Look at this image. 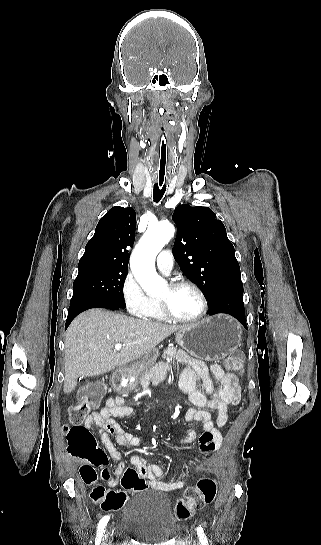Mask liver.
<instances>
[{
    "label": "liver",
    "instance_id": "6515ba94",
    "mask_svg": "<svg viewBox=\"0 0 321 545\" xmlns=\"http://www.w3.org/2000/svg\"><path fill=\"white\" fill-rule=\"evenodd\" d=\"M183 325H163L90 309L72 321L65 337L64 393H72L81 377H98L140 359ZM125 343L121 351L114 345ZM134 343V345H128Z\"/></svg>",
    "mask_w": 321,
    "mask_h": 545
}]
</instances>
